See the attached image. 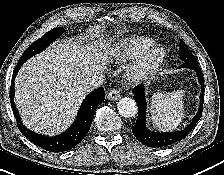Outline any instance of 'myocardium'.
Instances as JSON below:
<instances>
[{
  "label": "myocardium",
  "instance_id": "obj_1",
  "mask_svg": "<svg viewBox=\"0 0 224 175\" xmlns=\"http://www.w3.org/2000/svg\"><path fill=\"white\" fill-rule=\"evenodd\" d=\"M167 56L166 49L153 44L142 51L128 66L126 77L130 82H140L156 73L163 65Z\"/></svg>",
  "mask_w": 224,
  "mask_h": 175
}]
</instances>
